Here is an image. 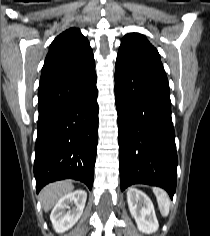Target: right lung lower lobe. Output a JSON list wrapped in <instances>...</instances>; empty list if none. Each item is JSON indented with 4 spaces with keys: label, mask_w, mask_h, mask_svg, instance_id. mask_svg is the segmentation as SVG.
Here are the masks:
<instances>
[{
    "label": "right lung lower lobe",
    "mask_w": 210,
    "mask_h": 236,
    "mask_svg": "<svg viewBox=\"0 0 210 236\" xmlns=\"http://www.w3.org/2000/svg\"><path fill=\"white\" fill-rule=\"evenodd\" d=\"M95 66L39 88L34 175L46 184L76 179L92 188L98 141Z\"/></svg>",
    "instance_id": "98d812e1"
}]
</instances>
